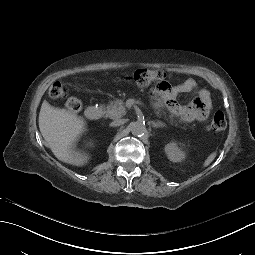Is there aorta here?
Returning <instances> with one entry per match:
<instances>
[{
	"instance_id": "1",
	"label": "aorta",
	"mask_w": 255,
	"mask_h": 255,
	"mask_svg": "<svg viewBox=\"0 0 255 255\" xmlns=\"http://www.w3.org/2000/svg\"><path fill=\"white\" fill-rule=\"evenodd\" d=\"M130 129L134 136H141L146 132L145 124L139 121L131 123Z\"/></svg>"
}]
</instances>
